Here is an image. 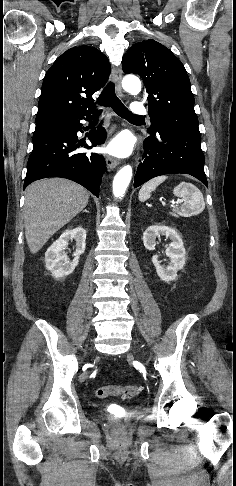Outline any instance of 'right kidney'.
Instances as JSON below:
<instances>
[{
	"mask_svg": "<svg viewBox=\"0 0 236 486\" xmlns=\"http://www.w3.org/2000/svg\"><path fill=\"white\" fill-rule=\"evenodd\" d=\"M70 240H75L74 259L69 260L65 253ZM86 231L82 227L66 230L46 251L45 267L55 278L70 275L79 263L80 255L86 248Z\"/></svg>",
	"mask_w": 236,
	"mask_h": 486,
	"instance_id": "right-kidney-1",
	"label": "right kidney"
}]
</instances>
